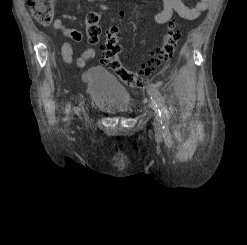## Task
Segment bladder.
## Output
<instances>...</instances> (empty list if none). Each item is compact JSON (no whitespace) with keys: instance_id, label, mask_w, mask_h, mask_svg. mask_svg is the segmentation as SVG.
Masks as SVG:
<instances>
[{"instance_id":"1","label":"bladder","mask_w":247,"mask_h":245,"mask_svg":"<svg viewBox=\"0 0 247 245\" xmlns=\"http://www.w3.org/2000/svg\"><path fill=\"white\" fill-rule=\"evenodd\" d=\"M86 81L94 106L108 114H125L130 110V96L125 87L105 68L87 71Z\"/></svg>"}]
</instances>
